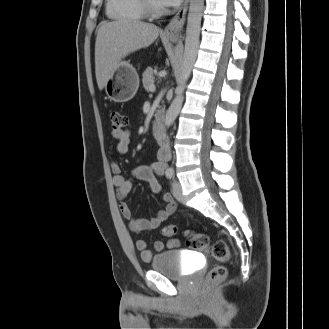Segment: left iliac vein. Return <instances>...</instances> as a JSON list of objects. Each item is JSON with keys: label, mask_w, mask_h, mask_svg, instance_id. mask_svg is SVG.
<instances>
[{"label": "left iliac vein", "mask_w": 329, "mask_h": 329, "mask_svg": "<svg viewBox=\"0 0 329 329\" xmlns=\"http://www.w3.org/2000/svg\"><path fill=\"white\" fill-rule=\"evenodd\" d=\"M172 192L176 200L183 202L182 188L179 182L174 183Z\"/></svg>", "instance_id": "1"}]
</instances>
